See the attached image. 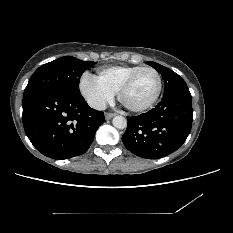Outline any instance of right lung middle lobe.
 Returning a JSON list of instances; mask_svg holds the SVG:
<instances>
[{
  "label": "right lung middle lobe",
  "mask_w": 233,
  "mask_h": 233,
  "mask_svg": "<svg viewBox=\"0 0 233 233\" xmlns=\"http://www.w3.org/2000/svg\"><path fill=\"white\" fill-rule=\"evenodd\" d=\"M94 64L96 62L82 61L72 56H64L46 63L30 77L23 96L47 89L80 94V77Z\"/></svg>",
  "instance_id": "1"
}]
</instances>
